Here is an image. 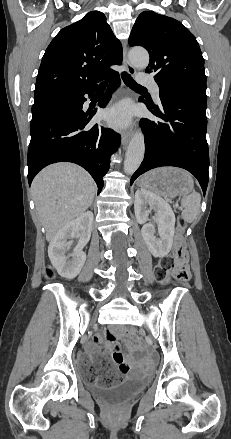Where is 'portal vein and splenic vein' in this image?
Masks as SVG:
<instances>
[{
  "label": "portal vein and splenic vein",
  "mask_w": 231,
  "mask_h": 439,
  "mask_svg": "<svg viewBox=\"0 0 231 439\" xmlns=\"http://www.w3.org/2000/svg\"><path fill=\"white\" fill-rule=\"evenodd\" d=\"M174 206H175V207H177L178 205H177V204H175Z\"/></svg>",
  "instance_id": "1"
}]
</instances>
